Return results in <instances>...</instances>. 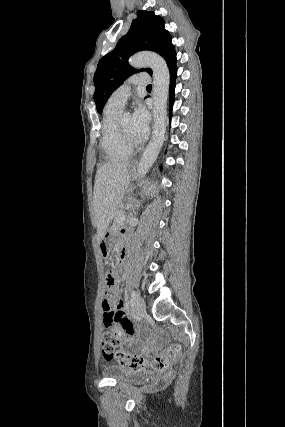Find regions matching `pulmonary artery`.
<instances>
[{"label":"pulmonary artery","instance_id":"pulmonary-artery-1","mask_svg":"<svg viewBox=\"0 0 285 427\" xmlns=\"http://www.w3.org/2000/svg\"><path fill=\"white\" fill-rule=\"evenodd\" d=\"M148 74H139L130 77L125 84L116 89L108 99V103L122 108L131 95V85L145 86L149 83Z\"/></svg>","mask_w":285,"mask_h":427}]
</instances>
